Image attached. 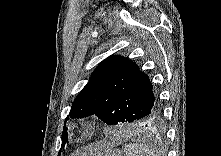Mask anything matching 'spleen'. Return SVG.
<instances>
[{"mask_svg": "<svg viewBox=\"0 0 221 156\" xmlns=\"http://www.w3.org/2000/svg\"><path fill=\"white\" fill-rule=\"evenodd\" d=\"M124 151L126 156H157L152 148L141 143L127 144Z\"/></svg>", "mask_w": 221, "mask_h": 156, "instance_id": "3e777b00", "label": "spleen"}]
</instances>
